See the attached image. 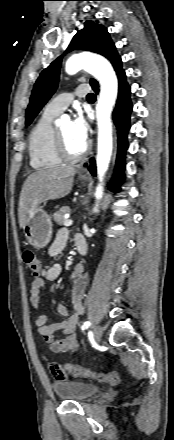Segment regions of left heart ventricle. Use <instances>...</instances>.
Wrapping results in <instances>:
<instances>
[{
  "label": "left heart ventricle",
  "mask_w": 174,
  "mask_h": 440,
  "mask_svg": "<svg viewBox=\"0 0 174 440\" xmlns=\"http://www.w3.org/2000/svg\"><path fill=\"white\" fill-rule=\"evenodd\" d=\"M59 130L61 131V133L64 137L66 146H67L70 153L78 154L83 150L85 144L77 141L74 138V136L72 134V130H71V122H69V121L64 122L60 126Z\"/></svg>",
  "instance_id": "left-heart-ventricle-1"
}]
</instances>
